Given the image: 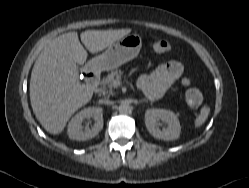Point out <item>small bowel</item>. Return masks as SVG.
Masks as SVG:
<instances>
[{"instance_id":"c3829d8e","label":"small bowel","mask_w":249,"mask_h":188,"mask_svg":"<svg viewBox=\"0 0 249 188\" xmlns=\"http://www.w3.org/2000/svg\"><path fill=\"white\" fill-rule=\"evenodd\" d=\"M176 83L188 86L190 80L183 77V65L180 62L167 61L161 63L152 73L142 75L138 80V88L149 99L154 100Z\"/></svg>"}]
</instances>
